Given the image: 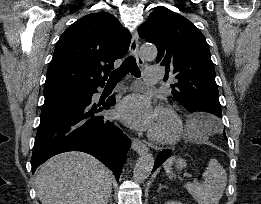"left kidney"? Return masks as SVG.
Here are the masks:
<instances>
[{
  "mask_svg": "<svg viewBox=\"0 0 261 204\" xmlns=\"http://www.w3.org/2000/svg\"><path fill=\"white\" fill-rule=\"evenodd\" d=\"M164 204H183L182 202H177V201H169V202H166Z\"/></svg>",
  "mask_w": 261,
  "mask_h": 204,
  "instance_id": "obj_1",
  "label": "left kidney"
}]
</instances>
